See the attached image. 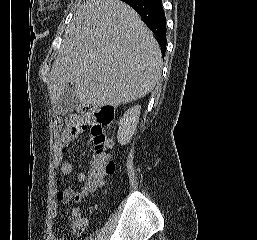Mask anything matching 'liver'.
<instances>
[{
	"label": "liver",
	"mask_w": 257,
	"mask_h": 240,
	"mask_svg": "<svg viewBox=\"0 0 257 240\" xmlns=\"http://www.w3.org/2000/svg\"><path fill=\"white\" fill-rule=\"evenodd\" d=\"M160 46L137 12L120 0H87L63 35L49 74L52 104L73 84L82 105L140 99L158 83Z\"/></svg>",
	"instance_id": "liver-1"
}]
</instances>
